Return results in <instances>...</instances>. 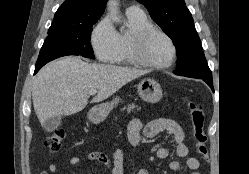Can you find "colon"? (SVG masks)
Here are the masks:
<instances>
[{"instance_id": "colon-1", "label": "colon", "mask_w": 249, "mask_h": 174, "mask_svg": "<svg viewBox=\"0 0 249 174\" xmlns=\"http://www.w3.org/2000/svg\"><path fill=\"white\" fill-rule=\"evenodd\" d=\"M191 121V135L194 142L196 153L204 160L208 161V150L206 147V135L204 132V116L199 103L194 101L188 102ZM66 137L64 129L52 131L44 140L45 147L51 153H57L62 146Z\"/></svg>"}]
</instances>
